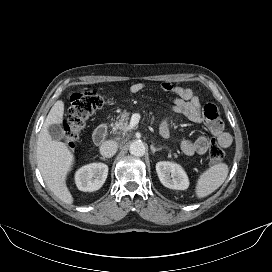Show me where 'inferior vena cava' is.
Masks as SVG:
<instances>
[{
    "label": "inferior vena cava",
    "instance_id": "602c4592",
    "mask_svg": "<svg viewBox=\"0 0 272 272\" xmlns=\"http://www.w3.org/2000/svg\"><path fill=\"white\" fill-rule=\"evenodd\" d=\"M118 149V144L113 140L105 141L100 146V154L103 157L110 158L115 155Z\"/></svg>",
    "mask_w": 272,
    "mask_h": 272
}]
</instances>
